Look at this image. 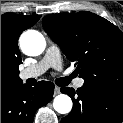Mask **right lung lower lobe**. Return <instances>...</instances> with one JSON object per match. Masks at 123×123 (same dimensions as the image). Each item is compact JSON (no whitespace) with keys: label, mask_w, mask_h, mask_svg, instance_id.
Listing matches in <instances>:
<instances>
[{"label":"right lung lower lobe","mask_w":123,"mask_h":123,"mask_svg":"<svg viewBox=\"0 0 123 123\" xmlns=\"http://www.w3.org/2000/svg\"><path fill=\"white\" fill-rule=\"evenodd\" d=\"M53 92L54 84L47 81L1 87V123H33L36 110L51 101Z\"/></svg>","instance_id":"right-lung-lower-lobe-1"}]
</instances>
